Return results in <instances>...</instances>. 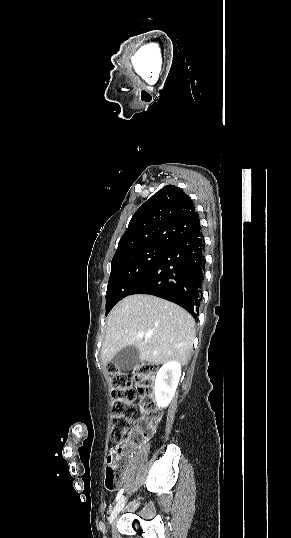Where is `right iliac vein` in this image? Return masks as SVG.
I'll list each match as a JSON object with an SVG mask.
<instances>
[{"mask_svg":"<svg viewBox=\"0 0 291 538\" xmlns=\"http://www.w3.org/2000/svg\"><path fill=\"white\" fill-rule=\"evenodd\" d=\"M125 497L122 496L118 503L115 505L114 509L112 510L110 516H109V523L112 524L114 522V520L116 519L117 515H118V512H119V509H120V506L121 504L125 501Z\"/></svg>","mask_w":291,"mask_h":538,"instance_id":"obj_1","label":"right iliac vein"}]
</instances>
